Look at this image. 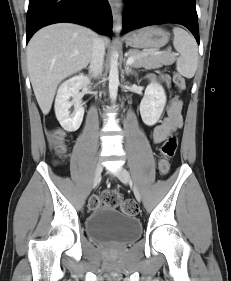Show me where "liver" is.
I'll return each instance as SVG.
<instances>
[{"label":"liver","instance_id":"6515ba94","mask_svg":"<svg viewBox=\"0 0 231 281\" xmlns=\"http://www.w3.org/2000/svg\"><path fill=\"white\" fill-rule=\"evenodd\" d=\"M96 34L86 27L58 23L40 29L27 47V67L37 102L48 114L59 83L87 67ZM104 44L106 40H103Z\"/></svg>","mask_w":231,"mask_h":281}]
</instances>
